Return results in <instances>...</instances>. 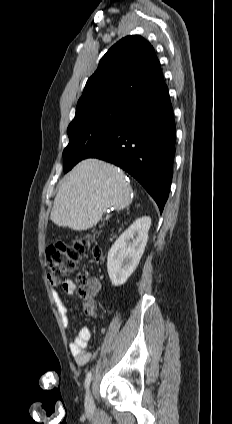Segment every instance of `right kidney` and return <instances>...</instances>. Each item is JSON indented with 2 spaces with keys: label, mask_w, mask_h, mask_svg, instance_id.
I'll return each mask as SVG.
<instances>
[{
  "label": "right kidney",
  "mask_w": 232,
  "mask_h": 424,
  "mask_svg": "<svg viewBox=\"0 0 232 424\" xmlns=\"http://www.w3.org/2000/svg\"><path fill=\"white\" fill-rule=\"evenodd\" d=\"M151 218L137 219L115 241L108 252L107 271L114 286L124 284L135 271L148 241Z\"/></svg>",
  "instance_id": "ca27d5eb"
}]
</instances>
